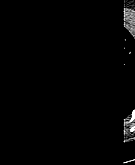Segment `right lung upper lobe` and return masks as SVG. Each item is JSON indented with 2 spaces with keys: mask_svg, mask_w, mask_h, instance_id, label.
<instances>
[{
  "mask_svg": "<svg viewBox=\"0 0 135 165\" xmlns=\"http://www.w3.org/2000/svg\"><path fill=\"white\" fill-rule=\"evenodd\" d=\"M48 30L42 20H22L5 28L0 27V51L12 48L19 54L37 55L36 45Z\"/></svg>",
  "mask_w": 135,
  "mask_h": 165,
  "instance_id": "cb5924a9",
  "label": "right lung upper lobe"
}]
</instances>
